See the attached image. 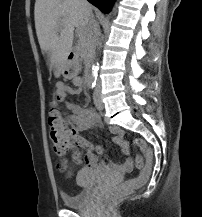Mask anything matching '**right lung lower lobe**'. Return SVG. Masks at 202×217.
Listing matches in <instances>:
<instances>
[{
  "label": "right lung lower lobe",
  "instance_id": "1",
  "mask_svg": "<svg viewBox=\"0 0 202 217\" xmlns=\"http://www.w3.org/2000/svg\"><path fill=\"white\" fill-rule=\"evenodd\" d=\"M94 6L99 8L102 12L108 13L114 0H88Z\"/></svg>",
  "mask_w": 202,
  "mask_h": 217
}]
</instances>
